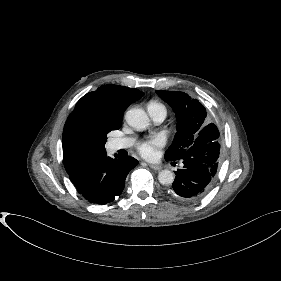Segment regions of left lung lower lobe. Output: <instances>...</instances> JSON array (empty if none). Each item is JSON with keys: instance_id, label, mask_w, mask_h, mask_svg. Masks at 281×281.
Masks as SVG:
<instances>
[{"instance_id": "obj_1", "label": "left lung lower lobe", "mask_w": 281, "mask_h": 281, "mask_svg": "<svg viewBox=\"0 0 281 281\" xmlns=\"http://www.w3.org/2000/svg\"><path fill=\"white\" fill-rule=\"evenodd\" d=\"M220 158L218 141L193 145L182 158L183 168L175 171L172 194L184 202L200 199L211 187Z\"/></svg>"}]
</instances>
